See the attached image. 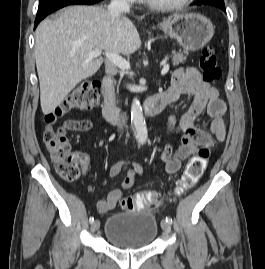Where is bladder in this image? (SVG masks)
Instances as JSON below:
<instances>
[{
  "label": "bladder",
  "instance_id": "obj_1",
  "mask_svg": "<svg viewBox=\"0 0 265 269\" xmlns=\"http://www.w3.org/2000/svg\"><path fill=\"white\" fill-rule=\"evenodd\" d=\"M104 234L107 241L120 248L149 247L158 234V223L151 210L117 212L108 217Z\"/></svg>",
  "mask_w": 265,
  "mask_h": 269
}]
</instances>
